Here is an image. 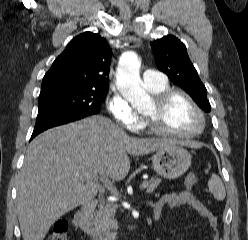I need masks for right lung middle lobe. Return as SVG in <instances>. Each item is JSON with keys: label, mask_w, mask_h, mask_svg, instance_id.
<instances>
[{"label": "right lung middle lobe", "mask_w": 248, "mask_h": 240, "mask_svg": "<svg viewBox=\"0 0 248 240\" xmlns=\"http://www.w3.org/2000/svg\"><path fill=\"white\" fill-rule=\"evenodd\" d=\"M107 89H59L40 93L38 114L93 115L100 112V104Z\"/></svg>", "instance_id": "1"}]
</instances>
